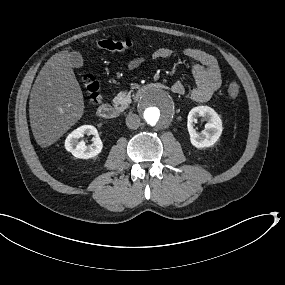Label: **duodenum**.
<instances>
[{
  "mask_svg": "<svg viewBox=\"0 0 285 285\" xmlns=\"http://www.w3.org/2000/svg\"><path fill=\"white\" fill-rule=\"evenodd\" d=\"M151 88H157L160 90H165L167 87L164 84L158 83V82L149 83V84H146V85H143L142 87H140L136 91L134 98L135 99L140 98L146 91H148ZM119 114H120L119 109L116 106L109 104V103H103L97 108V115H98V117H100L103 120L115 119L119 116Z\"/></svg>",
  "mask_w": 285,
  "mask_h": 285,
  "instance_id": "duodenum-1",
  "label": "duodenum"
}]
</instances>
